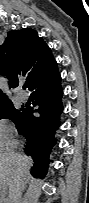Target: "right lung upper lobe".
I'll return each mask as SVG.
<instances>
[{
	"label": "right lung upper lobe",
	"mask_w": 89,
	"mask_h": 203,
	"mask_svg": "<svg viewBox=\"0 0 89 203\" xmlns=\"http://www.w3.org/2000/svg\"><path fill=\"white\" fill-rule=\"evenodd\" d=\"M56 65L51 49L31 28L10 31L0 46V74L7 76L12 88L18 86L21 76L29 88ZM7 103L11 101L0 90V107Z\"/></svg>",
	"instance_id": "right-lung-upper-lobe-1"
}]
</instances>
